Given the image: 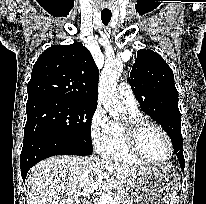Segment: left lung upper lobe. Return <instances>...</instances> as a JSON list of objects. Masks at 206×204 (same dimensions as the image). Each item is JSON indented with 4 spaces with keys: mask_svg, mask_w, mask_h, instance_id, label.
Instances as JSON below:
<instances>
[{
    "mask_svg": "<svg viewBox=\"0 0 206 204\" xmlns=\"http://www.w3.org/2000/svg\"><path fill=\"white\" fill-rule=\"evenodd\" d=\"M129 83L143 111L169 135L174 153L183 151L178 92L169 65L156 52L139 50Z\"/></svg>",
    "mask_w": 206,
    "mask_h": 204,
    "instance_id": "5c2ea615",
    "label": "left lung upper lobe"
}]
</instances>
